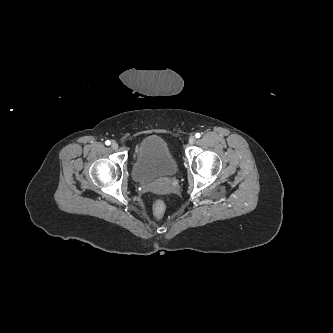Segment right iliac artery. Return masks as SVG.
I'll list each match as a JSON object with an SVG mask.
<instances>
[{
    "mask_svg": "<svg viewBox=\"0 0 333 333\" xmlns=\"http://www.w3.org/2000/svg\"><path fill=\"white\" fill-rule=\"evenodd\" d=\"M105 144H106L107 146L110 145V141L107 140V141L105 142Z\"/></svg>",
    "mask_w": 333,
    "mask_h": 333,
    "instance_id": "right-iliac-artery-1",
    "label": "right iliac artery"
}]
</instances>
